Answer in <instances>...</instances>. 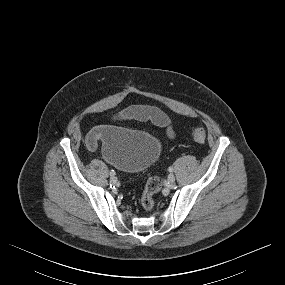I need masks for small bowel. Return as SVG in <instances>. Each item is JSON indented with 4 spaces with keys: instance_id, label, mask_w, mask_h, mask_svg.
I'll use <instances>...</instances> for the list:
<instances>
[{
    "instance_id": "1",
    "label": "small bowel",
    "mask_w": 285,
    "mask_h": 285,
    "mask_svg": "<svg viewBox=\"0 0 285 285\" xmlns=\"http://www.w3.org/2000/svg\"><path fill=\"white\" fill-rule=\"evenodd\" d=\"M112 121H122L135 119L139 121H150L156 126L165 129L167 136L170 139L175 138V131L173 129L169 117L159 108L149 105H134L124 110L118 111L111 115ZM104 126H96L93 128L85 139V144L88 150L95 151L98 143L102 138Z\"/></svg>"
}]
</instances>
